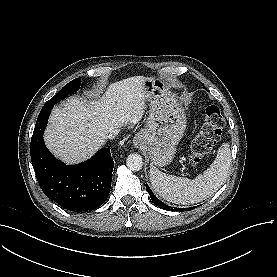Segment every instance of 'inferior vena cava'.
<instances>
[{"label":"inferior vena cava","instance_id":"inferior-vena-cava-1","mask_svg":"<svg viewBox=\"0 0 277 277\" xmlns=\"http://www.w3.org/2000/svg\"><path fill=\"white\" fill-rule=\"evenodd\" d=\"M118 132L116 130H112L109 132V134L107 135L108 139H114L117 136Z\"/></svg>","mask_w":277,"mask_h":277}]
</instances>
